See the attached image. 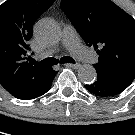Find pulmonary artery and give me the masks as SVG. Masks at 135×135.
Returning a JSON list of instances; mask_svg holds the SVG:
<instances>
[{"mask_svg": "<svg viewBox=\"0 0 135 135\" xmlns=\"http://www.w3.org/2000/svg\"><path fill=\"white\" fill-rule=\"evenodd\" d=\"M63 44L64 46L78 59H82L87 62H95L97 56L94 52L84 48L77 37L76 31L73 26L66 25L63 30ZM54 53L49 51L45 53V56Z\"/></svg>", "mask_w": 135, "mask_h": 135, "instance_id": "e3ab8cb5", "label": "pulmonary artery"}]
</instances>
